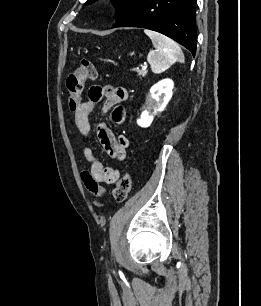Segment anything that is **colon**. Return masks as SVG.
<instances>
[{
	"label": "colon",
	"mask_w": 261,
	"mask_h": 306,
	"mask_svg": "<svg viewBox=\"0 0 261 306\" xmlns=\"http://www.w3.org/2000/svg\"><path fill=\"white\" fill-rule=\"evenodd\" d=\"M97 77V71L94 64L88 60L83 59L79 66L66 78V87L68 91V103L71 110H75L81 103V98L84 90V86L87 82L95 80ZM132 180L128 172L117 181L113 190V196L116 201H125L131 191Z\"/></svg>",
	"instance_id": "5ec220e1"
}]
</instances>
